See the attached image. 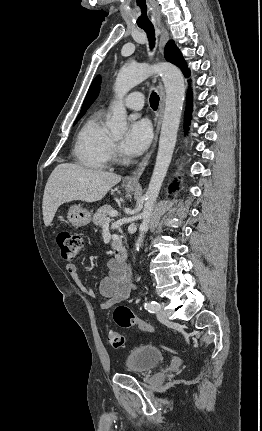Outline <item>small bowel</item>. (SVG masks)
Segmentation results:
<instances>
[{
	"label": "small bowel",
	"instance_id": "1",
	"mask_svg": "<svg viewBox=\"0 0 262 431\" xmlns=\"http://www.w3.org/2000/svg\"><path fill=\"white\" fill-rule=\"evenodd\" d=\"M66 270L83 295L92 298L96 297L95 292L79 278L75 264H67ZM132 287L131 274L127 262L122 261L120 258L111 259L107 264V272L99 285V308L106 310L126 300L131 293Z\"/></svg>",
	"mask_w": 262,
	"mask_h": 431
}]
</instances>
